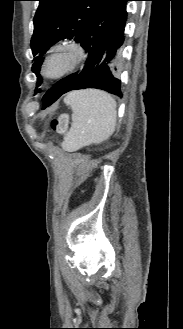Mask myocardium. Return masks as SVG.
<instances>
[{"instance_id": "f54148a6", "label": "myocardium", "mask_w": 183, "mask_h": 329, "mask_svg": "<svg viewBox=\"0 0 183 329\" xmlns=\"http://www.w3.org/2000/svg\"><path fill=\"white\" fill-rule=\"evenodd\" d=\"M63 49H69L74 53V60L71 63V65L69 67H67L66 69L55 73V74H49L46 71V67L48 65L49 60L51 59V57L57 53L60 50ZM85 58V50L84 47L81 45V43H79L76 40L73 39H64L61 40L57 43H55L54 45H52L45 53L43 62H42V66H41V74L44 78L49 79V80H56V79H60L70 73H72L74 70H76L81 63L83 62Z\"/></svg>"}]
</instances>
